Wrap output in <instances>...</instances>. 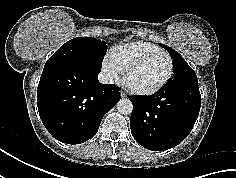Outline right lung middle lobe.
I'll use <instances>...</instances> for the list:
<instances>
[{"label": "right lung middle lobe", "mask_w": 236, "mask_h": 178, "mask_svg": "<svg viewBox=\"0 0 236 178\" xmlns=\"http://www.w3.org/2000/svg\"><path fill=\"white\" fill-rule=\"evenodd\" d=\"M107 51L104 41L93 37H77L63 44L46 63L55 61H86L101 68Z\"/></svg>", "instance_id": "obj_1"}]
</instances>
